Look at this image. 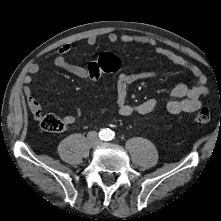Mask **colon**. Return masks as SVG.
<instances>
[{"mask_svg":"<svg viewBox=\"0 0 221 221\" xmlns=\"http://www.w3.org/2000/svg\"><path fill=\"white\" fill-rule=\"evenodd\" d=\"M121 67V60L111 53L102 54L96 61L88 66L89 79L97 80L103 73L117 72ZM212 114L208 108H201L194 116L193 120L197 124H207L211 121ZM38 121L41 128L47 132H63L67 125L64 120L53 113H40Z\"/></svg>","mask_w":221,"mask_h":221,"instance_id":"obj_1","label":"colon"}]
</instances>
